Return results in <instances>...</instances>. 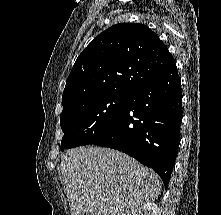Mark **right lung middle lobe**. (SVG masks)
I'll use <instances>...</instances> for the list:
<instances>
[{"instance_id":"dd1d6c3e","label":"right lung middle lobe","mask_w":221,"mask_h":215,"mask_svg":"<svg viewBox=\"0 0 221 215\" xmlns=\"http://www.w3.org/2000/svg\"><path fill=\"white\" fill-rule=\"evenodd\" d=\"M129 94L111 93L72 103L60 115L61 150L87 145L105 134L122 114Z\"/></svg>"}]
</instances>
